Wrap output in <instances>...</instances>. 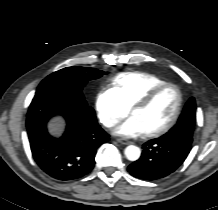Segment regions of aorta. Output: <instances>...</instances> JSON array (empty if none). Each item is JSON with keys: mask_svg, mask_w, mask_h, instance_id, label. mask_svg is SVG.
I'll return each instance as SVG.
<instances>
[{"mask_svg": "<svg viewBox=\"0 0 218 210\" xmlns=\"http://www.w3.org/2000/svg\"><path fill=\"white\" fill-rule=\"evenodd\" d=\"M124 154L126 158L130 161H136L141 155V150L139 147L134 145H129L125 148Z\"/></svg>", "mask_w": 218, "mask_h": 210, "instance_id": "aorta-1", "label": "aorta"}]
</instances>
